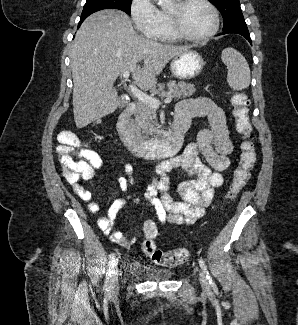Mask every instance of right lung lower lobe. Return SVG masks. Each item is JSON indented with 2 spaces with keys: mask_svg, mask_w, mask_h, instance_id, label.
<instances>
[{
  "mask_svg": "<svg viewBox=\"0 0 298 325\" xmlns=\"http://www.w3.org/2000/svg\"><path fill=\"white\" fill-rule=\"evenodd\" d=\"M84 20H80L79 24H78V28L80 27L81 23L83 22Z\"/></svg>",
  "mask_w": 298,
  "mask_h": 325,
  "instance_id": "1",
  "label": "right lung lower lobe"
}]
</instances>
